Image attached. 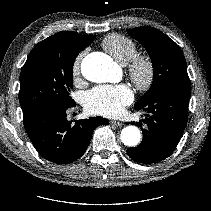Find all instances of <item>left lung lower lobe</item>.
<instances>
[{
  "instance_id": "left-lung-lower-lobe-1",
  "label": "left lung lower lobe",
  "mask_w": 211,
  "mask_h": 211,
  "mask_svg": "<svg viewBox=\"0 0 211 211\" xmlns=\"http://www.w3.org/2000/svg\"><path fill=\"white\" fill-rule=\"evenodd\" d=\"M190 95V85H174L134 106L148 114L137 123L139 126L146 124L142 142L137 147L127 149V154L133 160L152 164L171 155L187 125Z\"/></svg>"
}]
</instances>
